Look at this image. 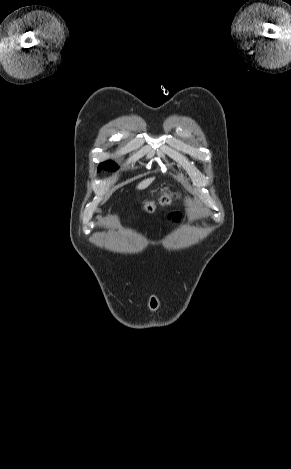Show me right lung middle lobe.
I'll return each mask as SVG.
<instances>
[{"mask_svg": "<svg viewBox=\"0 0 291 469\" xmlns=\"http://www.w3.org/2000/svg\"><path fill=\"white\" fill-rule=\"evenodd\" d=\"M102 169L107 171H114L116 169V165L114 162L106 161L99 165L98 172H100Z\"/></svg>", "mask_w": 291, "mask_h": 469, "instance_id": "right-lung-middle-lobe-1", "label": "right lung middle lobe"}]
</instances>
